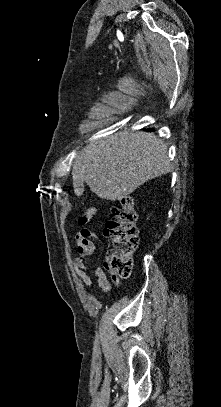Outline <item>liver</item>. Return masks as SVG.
Here are the masks:
<instances>
[{
  "label": "liver",
  "instance_id": "liver-1",
  "mask_svg": "<svg viewBox=\"0 0 221 407\" xmlns=\"http://www.w3.org/2000/svg\"><path fill=\"white\" fill-rule=\"evenodd\" d=\"M172 168L167 146L156 135L119 132L88 143L75 158L72 178L102 199L120 201Z\"/></svg>",
  "mask_w": 221,
  "mask_h": 407
}]
</instances>
